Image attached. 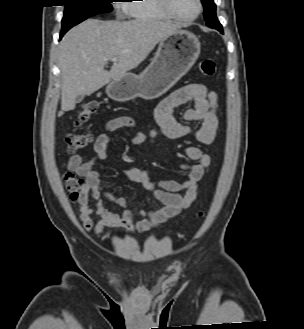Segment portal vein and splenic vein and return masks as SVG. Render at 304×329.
<instances>
[{"label": "portal vein and splenic vein", "mask_w": 304, "mask_h": 329, "mask_svg": "<svg viewBox=\"0 0 304 329\" xmlns=\"http://www.w3.org/2000/svg\"><path fill=\"white\" fill-rule=\"evenodd\" d=\"M108 59H110L113 62L117 61V58L116 57L115 58H108Z\"/></svg>", "instance_id": "obj_1"}]
</instances>
